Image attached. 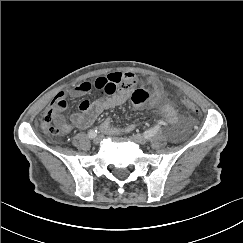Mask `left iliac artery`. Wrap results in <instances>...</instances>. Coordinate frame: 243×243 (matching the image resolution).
I'll return each instance as SVG.
<instances>
[{"label":"left iliac artery","mask_w":243,"mask_h":243,"mask_svg":"<svg viewBox=\"0 0 243 243\" xmlns=\"http://www.w3.org/2000/svg\"><path fill=\"white\" fill-rule=\"evenodd\" d=\"M160 130H161V126L160 125H156L155 127L145 131L144 132V137L146 139H151Z\"/></svg>","instance_id":"left-iliac-artery-1"}]
</instances>
